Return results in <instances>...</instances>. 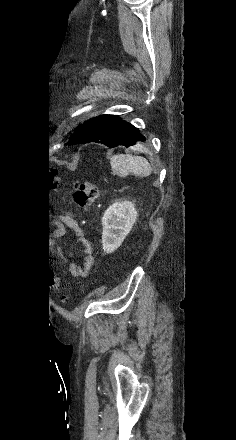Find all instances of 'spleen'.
I'll use <instances>...</instances> for the list:
<instances>
[{
    "label": "spleen",
    "instance_id": "1",
    "mask_svg": "<svg viewBox=\"0 0 236 440\" xmlns=\"http://www.w3.org/2000/svg\"><path fill=\"white\" fill-rule=\"evenodd\" d=\"M112 170L119 176L133 174L138 177H147L152 173V167L147 159L130 154L114 155L110 159Z\"/></svg>",
    "mask_w": 236,
    "mask_h": 440
}]
</instances>
